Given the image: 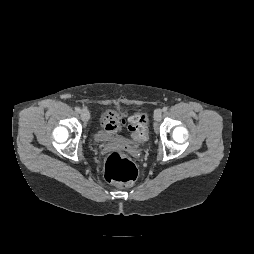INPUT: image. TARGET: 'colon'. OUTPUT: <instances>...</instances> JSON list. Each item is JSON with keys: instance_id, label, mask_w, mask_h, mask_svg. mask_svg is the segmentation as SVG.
<instances>
[{"instance_id": "colon-1", "label": "colon", "mask_w": 254, "mask_h": 254, "mask_svg": "<svg viewBox=\"0 0 254 254\" xmlns=\"http://www.w3.org/2000/svg\"><path fill=\"white\" fill-rule=\"evenodd\" d=\"M147 116L142 112L132 115L129 130L134 139L143 141L147 137ZM104 177L109 182L131 185L138 177L136 165L120 151H111L104 160Z\"/></svg>"}]
</instances>
